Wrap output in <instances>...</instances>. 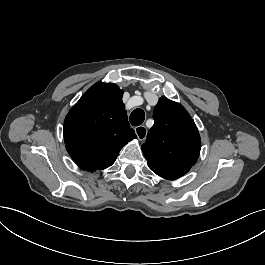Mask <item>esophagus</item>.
<instances>
[{
  "mask_svg": "<svg viewBox=\"0 0 265 265\" xmlns=\"http://www.w3.org/2000/svg\"><path fill=\"white\" fill-rule=\"evenodd\" d=\"M135 134L137 135V138L142 141L147 136V128L145 126H137L134 128Z\"/></svg>",
  "mask_w": 265,
  "mask_h": 265,
  "instance_id": "1",
  "label": "esophagus"
}]
</instances>
